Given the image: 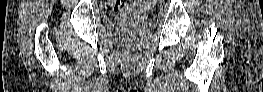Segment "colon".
I'll return each mask as SVG.
<instances>
[{
  "label": "colon",
  "instance_id": "obj_1",
  "mask_svg": "<svg viewBox=\"0 0 263 92\" xmlns=\"http://www.w3.org/2000/svg\"><path fill=\"white\" fill-rule=\"evenodd\" d=\"M111 5L114 9L121 10L123 8L124 3L121 1H112Z\"/></svg>",
  "mask_w": 263,
  "mask_h": 92
}]
</instances>
